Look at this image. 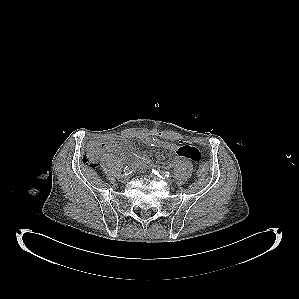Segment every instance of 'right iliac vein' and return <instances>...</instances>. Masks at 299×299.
<instances>
[{"instance_id":"63e3f726","label":"right iliac vein","mask_w":299,"mask_h":299,"mask_svg":"<svg viewBox=\"0 0 299 299\" xmlns=\"http://www.w3.org/2000/svg\"><path fill=\"white\" fill-rule=\"evenodd\" d=\"M128 180H129V176H128V175H126V174H122V175L120 176V181H121V182L125 183V182H127Z\"/></svg>"}]
</instances>
